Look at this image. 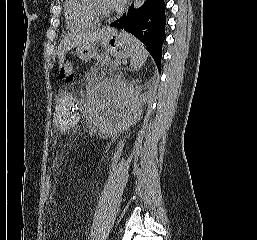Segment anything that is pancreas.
Instances as JSON below:
<instances>
[{"label":"pancreas","mask_w":257,"mask_h":240,"mask_svg":"<svg viewBox=\"0 0 257 240\" xmlns=\"http://www.w3.org/2000/svg\"><path fill=\"white\" fill-rule=\"evenodd\" d=\"M114 70L116 69L115 63L112 62L111 58L107 55H100L97 58L95 69Z\"/></svg>","instance_id":"1"}]
</instances>
